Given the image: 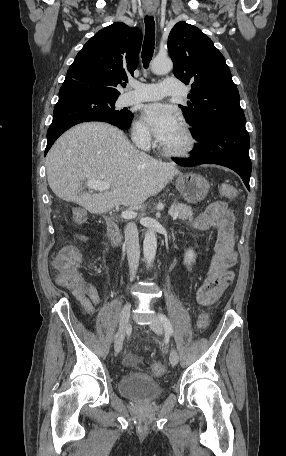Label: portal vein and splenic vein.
I'll use <instances>...</instances> for the list:
<instances>
[{"instance_id": "18ae733b", "label": "portal vein and splenic vein", "mask_w": 286, "mask_h": 456, "mask_svg": "<svg viewBox=\"0 0 286 456\" xmlns=\"http://www.w3.org/2000/svg\"><path fill=\"white\" fill-rule=\"evenodd\" d=\"M87 186L90 189L97 190V191H107L111 188L110 184L105 181H99V180H88L87 181ZM169 214L172 216L173 220H176L178 217V212L174 211H169ZM137 216V213L133 211V209H128L125 211H122L121 217L125 219H131Z\"/></svg>"}]
</instances>
